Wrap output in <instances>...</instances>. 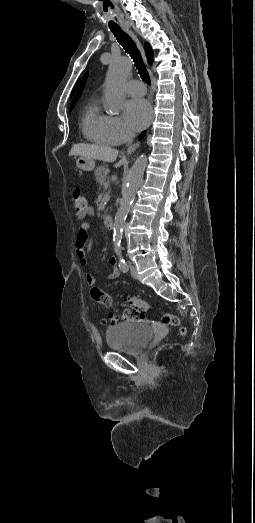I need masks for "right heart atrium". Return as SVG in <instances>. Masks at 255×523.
I'll return each instance as SVG.
<instances>
[{"label":"right heart atrium","instance_id":"1","mask_svg":"<svg viewBox=\"0 0 255 523\" xmlns=\"http://www.w3.org/2000/svg\"><path fill=\"white\" fill-rule=\"evenodd\" d=\"M113 126L118 136L122 138H129L132 135L131 130L120 116L113 117Z\"/></svg>","mask_w":255,"mask_h":523}]
</instances>
